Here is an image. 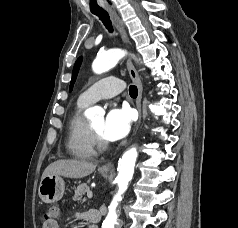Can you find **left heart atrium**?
Instances as JSON below:
<instances>
[{
    "label": "left heart atrium",
    "instance_id": "39dd6f15",
    "mask_svg": "<svg viewBox=\"0 0 238 228\" xmlns=\"http://www.w3.org/2000/svg\"><path fill=\"white\" fill-rule=\"evenodd\" d=\"M132 114L127 108H111L104 120L103 137L115 142L124 138L130 131Z\"/></svg>",
    "mask_w": 238,
    "mask_h": 228
}]
</instances>
